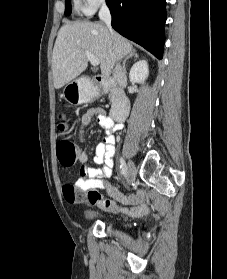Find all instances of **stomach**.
<instances>
[{
	"label": "stomach",
	"instance_id": "0dacf381",
	"mask_svg": "<svg viewBox=\"0 0 227 279\" xmlns=\"http://www.w3.org/2000/svg\"><path fill=\"white\" fill-rule=\"evenodd\" d=\"M63 97L71 104H82L95 97V89L91 84L84 83L81 80H73L65 86Z\"/></svg>",
	"mask_w": 227,
	"mask_h": 279
}]
</instances>
